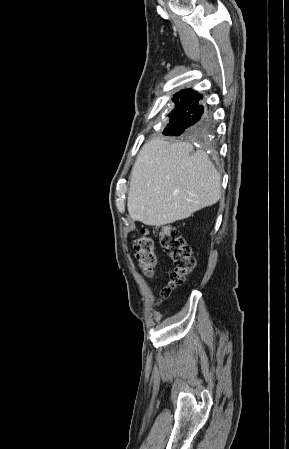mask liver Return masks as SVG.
Listing matches in <instances>:
<instances>
[{"label": "liver", "mask_w": 289, "mask_h": 449, "mask_svg": "<svg viewBox=\"0 0 289 449\" xmlns=\"http://www.w3.org/2000/svg\"><path fill=\"white\" fill-rule=\"evenodd\" d=\"M188 142L152 139L131 171L127 208L134 221L160 227L217 203L221 177L202 150Z\"/></svg>", "instance_id": "6515ba94"}]
</instances>
